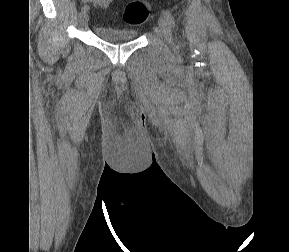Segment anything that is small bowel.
Instances as JSON below:
<instances>
[{
    "mask_svg": "<svg viewBox=\"0 0 289 252\" xmlns=\"http://www.w3.org/2000/svg\"><path fill=\"white\" fill-rule=\"evenodd\" d=\"M82 2L97 5L101 8L106 9L114 2V0H82Z\"/></svg>",
    "mask_w": 289,
    "mask_h": 252,
    "instance_id": "c3829d8e",
    "label": "small bowel"
}]
</instances>
